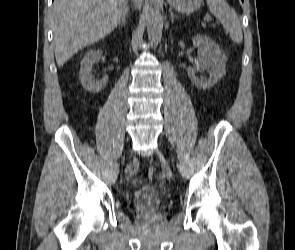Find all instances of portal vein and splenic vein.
I'll use <instances>...</instances> for the list:
<instances>
[{"instance_id":"18ae733b","label":"portal vein and splenic vein","mask_w":295,"mask_h":250,"mask_svg":"<svg viewBox=\"0 0 295 250\" xmlns=\"http://www.w3.org/2000/svg\"><path fill=\"white\" fill-rule=\"evenodd\" d=\"M205 20L209 21V20H211V17L208 16V15H206V16H205Z\"/></svg>"}]
</instances>
